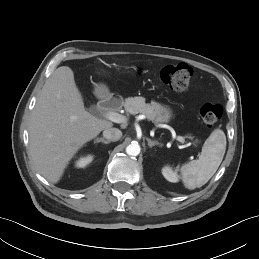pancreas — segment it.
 <instances>
[{
  "label": "pancreas",
  "instance_id": "pancreas-1",
  "mask_svg": "<svg viewBox=\"0 0 259 259\" xmlns=\"http://www.w3.org/2000/svg\"><path fill=\"white\" fill-rule=\"evenodd\" d=\"M123 106L125 107V110L132 115L142 113L156 124L163 122V119L157 116L160 105L155 102L146 104L143 97H129L125 99Z\"/></svg>",
  "mask_w": 259,
  "mask_h": 259
}]
</instances>
